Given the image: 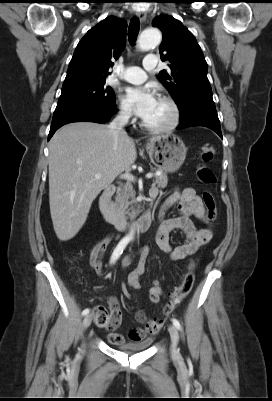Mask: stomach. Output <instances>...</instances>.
<instances>
[{"instance_id":"0dacf381","label":"stomach","mask_w":272,"mask_h":401,"mask_svg":"<svg viewBox=\"0 0 272 401\" xmlns=\"http://www.w3.org/2000/svg\"><path fill=\"white\" fill-rule=\"evenodd\" d=\"M151 161L165 172H175L183 164L187 148L174 134L157 136L146 145Z\"/></svg>"}]
</instances>
